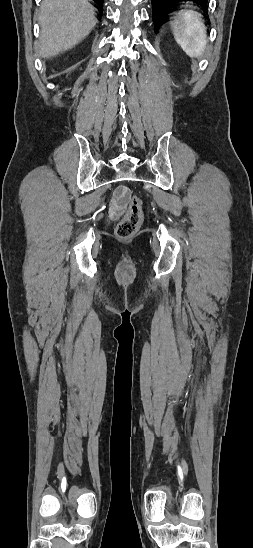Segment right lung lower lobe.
Listing matches in <instances>:
<instances>
[{
	"label": "right lung lower lobe",
	"instance_id": "98d812e1",
	"mask_svg": "<svg viewBox=\"0 0 253 548\" xmlns=\"http://www.w3.org/2000/svg\"><path fill=\"white\" fill-rule=\"evenodd\" d=\"M94 1L99 5L100 8L103 7V0H94Z\"/></svg>",
	"mask_w": 253,
	"mask_h": 548
}]
</instances>
